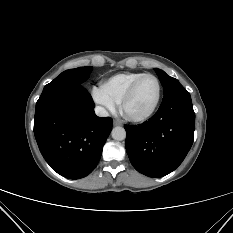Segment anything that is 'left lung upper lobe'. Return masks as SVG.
I'll return each instance as SVG.
<instances>
[{
  "instance_id": "left-lung-upper-lobe-1",
  "label": "left lung upper lobe",
  "mask_w": 233,
  "mask_h": 233,
  "mask_svg": "<svg viewBox=\"0 0 233 233\" xmlns=\"http://www.w3.org/2000/svg\"><path fill=\"white\" fill-rule=\"evenodd\" d=\"M160 82L163 86L164 97L163 100L171 98L175 95L188 94L187 90L173 77L168 76L164 71L155 68Z\"/></svg>"
}]
</instances>
